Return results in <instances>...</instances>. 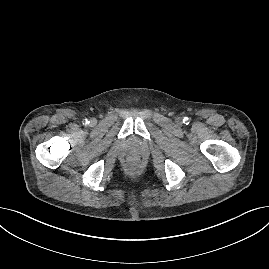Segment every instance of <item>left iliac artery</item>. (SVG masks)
<instances>
[{"label":"left iliac artery","mask_w":269,"mask_h":269,"mask_svg":"<svg viewBox=\"0 0 269 269\" xmlns=\"http://www.w3.org/2000/svg\"><path fill=\"white\" fill-rule=\"evenodd\" d=\"M183 122L186 123V124H188L189 123V118L188 117H184Z\"/></svg>","instance_id":"1"}]
</instances>
